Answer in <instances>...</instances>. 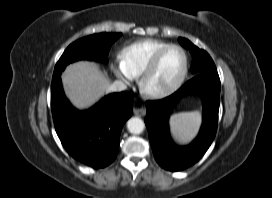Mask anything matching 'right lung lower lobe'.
I'll return each instance as SVG.
<instances>
[{
  "mask_svg": "<svg viewBox=\"0 0 272 198\" xmlns=\"http://www.w3.org/2000/svg\"><path fill=\"white\" fill-rule=\"evenodd\" d=\"M133 99L130 92L113 93L91 109L79 111L65 97L60 75L53 76L52 115L66 151L94 168L111 164L117 155L121 129L132 115Z\"/></svg>",
  "mask_w": 272,
  "mask_h": 198,
  "instance_id": "1",
  "label": "right lung lower lobe"
}]
</instances>
